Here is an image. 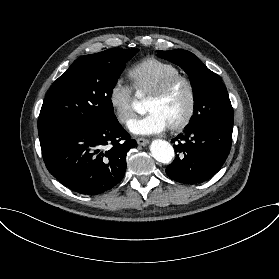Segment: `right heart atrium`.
<instances>
[{
  "label": "right heart atrium",
  "instance_id": "obj_1",
  "mask_svg": "<svg viewBox=\"0 0 279 279\" xmlns=\"http://www.w3.org/2000/svg\"><path fill=\"white\" fill-rule=\"evenodd\" d=\"M107 100L116 121L127 124L134 115L132 87L121 79L116 80L109 89Z\"/></svg>",
  "mask_w": 279,
  "mask_h": 279
}]
</instances>
